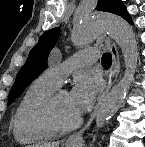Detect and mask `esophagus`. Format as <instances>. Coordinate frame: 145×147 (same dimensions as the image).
Instances as JSON below:
<instances>
[{
    "label": "esophagus",
    "instance_id": "obj_1",
    "mask_svg": "<svg viewBox=\"0 0 145 147\" xmlns=\"http://www.w3.org/2000/svg\"><path fill=\"white\" fill-rule=\"evenodd\" d=\"M110 52L112 54V66L110 69V73L108 75V84H107V88L104 91V93L101 95L100 99L98 100L95 109L93 110L92 114L90 115L89 120L87 121L86 125L78 132L72 134L69 138H68V142H81L82 139V135L83 133L90 127L93 119L95 118L97 109L99 107V104L101 102V100L105 97V95L108 93V91L111 89V87L113 86V84L116 82L119 71H120V62H119V53H118V48L116 46L115 43H111L110 45Z\"/></svg>",
    "mask_w": 145,
    "mask_h": 147
}]
</instances>
